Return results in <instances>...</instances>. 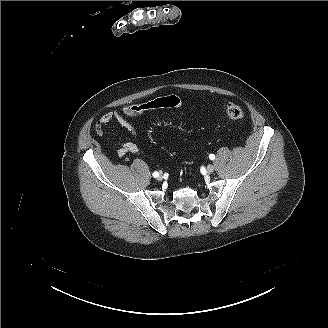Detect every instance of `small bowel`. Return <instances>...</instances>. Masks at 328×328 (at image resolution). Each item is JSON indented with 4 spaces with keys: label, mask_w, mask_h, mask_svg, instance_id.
I'll return each instance as SVG.
<instances>
[{
    "label": "small bowel",
    "mask_w": 328,
    "mask_h": 328,
    "mask_svg": "<svg viewBox=\"0 0 328 328\" xmlns=\"http://www.w3.org/2000/svg\"><path fill=\"white\" fill-rule=\"evenodd\" d=\"M112 120H117L134 135H138L136 127L127 119V117L123 113L119 111H110L103 114L99 120V124L105 125L111 122ZM137 151H138V147L136 144L132 142H125L118 150V155L120 157H123L126 154L135 153Z\"/></svg>",
    "instance_id": "c3829d8e"
}]
</instances>
